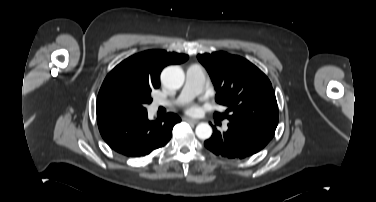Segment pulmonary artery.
<instances>
[{"instance_id": "e3ab8cb5", "label": "pulmonary artery", "mask_w": 376, "mask_h": 202, "mask_svg": "<svg viewBox=\"0 0 376 202\" xmlns=\"http://www.w3.org/2000/svg\"><path fill=\"white\" fill-rule=\"evenodd\" d=\"M205 82V70L199 64H192L186 71V83L180 95L172 101L157 100L154 102L155 107L172 106L181 104L192 99L200 93Z\"/></svg>"}]
</instances>
